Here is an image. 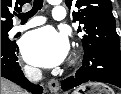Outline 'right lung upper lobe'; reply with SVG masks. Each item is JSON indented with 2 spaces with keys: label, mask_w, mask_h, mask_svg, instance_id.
<instances>
[{
  "label": "right lung upper lobe",
  "mask_w": 121,
  "mask_h": 94,
  "mask_svg": "<svg viewBox=\"0 0 121 94\" xmlns=\"http://www.w3.org/2000/svg\"><path fill=\"white\" fill-rule=\"evenodd\" d=\"M31 0H1V30L13 27L11 9L20 11L23 4Z\"/></svg>",
  "instance_id": "1"
}]
</instances>
